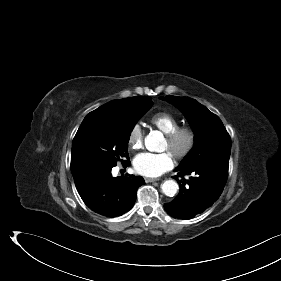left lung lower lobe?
Returning <instances> with one entry per match:
<instances>
[{
    "mask_svg": "<svg viewBox=\"0 0 281 281\" xmlns=\"http://www.w3.org/2000/svg\"><path fill=\"white\" fill-rule=\"evenodd\" d=\"M228 166L229 163L215 162L192 167L179 166L174 178L181 186L180 192L172 202L165 203L166 211L180 219H191L204 212L221 195L228 177ZM186 174L192 175L189 180L182 181L178 178L184 179Z\"/></svg>",
    "mask_w": 281,
    "mask_h": 281,
    "instance_id": "0a47b994",
    "label": "left lung lower lobe"
}]
</instances>
